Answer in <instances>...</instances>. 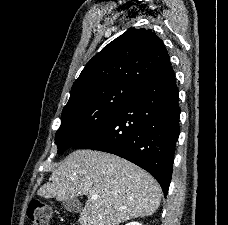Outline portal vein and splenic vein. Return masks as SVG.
<instances>
[{
	"mask_svg": "<svg viewBox=\"0 0 228 225\" xmlns=\"http://www.w3.org/2000/svg\"><path fill=\"white\" fill-rule=\"evenodd\" d=\"M92 199H98V195H92Z\"/></svg>",
	"mask_w": 228,
	"mask_h": 225,
	"instance_id": "obj_1",
	"label": "portal vein and splenic vein"
}]
</instances>
